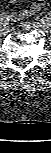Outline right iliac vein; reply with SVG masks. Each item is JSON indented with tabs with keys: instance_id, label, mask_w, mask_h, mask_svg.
Returning <instances> with one entry per match:
<instances>
[{
	"instance_id": "63e3f726",
	"label": "right iliac vein",
	"mask_w": 51,
	"mask_h": 153,
	"mask_svg": "<svg viewBox=\"0 0 51 153\" xmlns=\"http://www.w3.org/2000/svg\"><path fill=\"white\" fill-rule=\"evenodd\" d=\"M8 31H9L8 26L2 25V26L0 27V35L4 36V35H6V34L8 33Z\"/></svg>"
}]
</instances>
